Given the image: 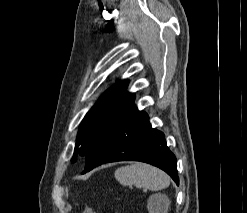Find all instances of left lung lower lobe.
I'll list each match as a JSON object with an SVG mask.
<instances>
[{"label":"left lung lower lobe","mask_w":247,"mask_h":213,"mask_svg":"<svg viewBox=\"0 0 247 213\" xmlns=\"http://www.w3.org/2000/svg\"><path fill=\"white\" fill-rule=\"evenodd\" d=\"M142 161L168 173L179 184L174 154L166 145L164 134L151 127L149 116L134 103L91 146L82 174L109 162Z\"/></svg>","instance_id":"0a47b994"}]
</instances>
